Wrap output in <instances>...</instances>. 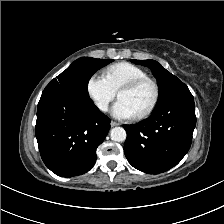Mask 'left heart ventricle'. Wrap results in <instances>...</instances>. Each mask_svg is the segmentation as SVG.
<instances>
[{
  "label": "left heart ventricle",
  "instance_id": "1",
  "mask_svg": "<svg viewBox=\"0 0 224 224\" xmlns=\"http://www.w3.org/2000/svg\"><path fill=\"white\" fill-rule=\"evenodd\" d=\"M153 90L150 85L144 84L132 91H121L118 99L124 100L135 111L136 114L142 112L150 103Z\"/></svg>",
  "mask_w": 224,
  "mask_h": 224
}]
</instances>
